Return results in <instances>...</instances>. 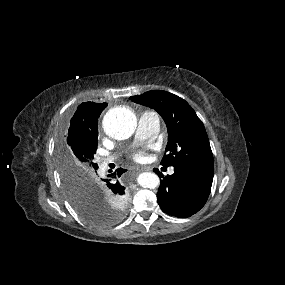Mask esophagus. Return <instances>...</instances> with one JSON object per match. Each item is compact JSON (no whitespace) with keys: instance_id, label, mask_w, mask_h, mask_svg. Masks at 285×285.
Instances as JSON below:
<instances>
[{"instance_id":"esophagus-1","label":"esophagus","mask_w":285,"mask_h":285,"mask_svg":"<svg viewBox=\"0 0 285 285\" xmlns=\"http://www.w3.org/2000/svg\"><path fill=\"white\" fill-rule=\"evenodd\" d=\"M141 170L142 171H151V168L148 166H143V167H141Z\"/></svg>"}]
</instances>
